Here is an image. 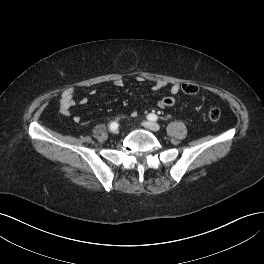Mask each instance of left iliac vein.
I'll return each mask as SVG.
<instances>
[{
  "label": "left iliac vein",
  "instance_id": "left-iliac-vein-1",
  "mask_svg": "<svg viewBox=\"0 0 264 264\" xmlns=\"http://www.w3.org/2000/svg\"><path fill=\"white\" fill-rule=\"evenodd\" d=\"M142 125L147 128L150 129L152 131H159L160 130V126L159 124L155 123V122H151V121H145L142 123Z\"/></svg>",
  "mask_w": 264,
  "mask_h": 264
}]
</instances>
